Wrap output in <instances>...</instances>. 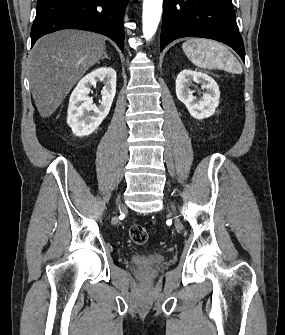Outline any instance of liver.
Here are the masks:
<instances>
[{"mask_svg": "<svg viewBox=\"0 0 285 335\" xmlns=\"http://www.w3.org/2000/svg\"><path fill=\"white\" fill-rule=\"evenodd\" d=\"M104 36L83 30H61L43 36L29 56V80L41 118L59 108L73 86L106 54Z\"/></svg>", "mask_w": 285, "mask_h": 335, "instance_id": "liver-1", "label": "liver"}]
</instances>
